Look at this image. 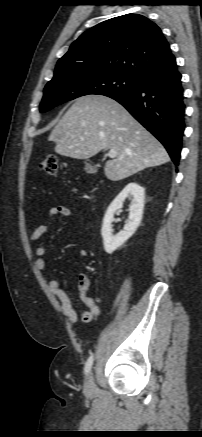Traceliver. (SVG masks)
I'll return each mask as SVG.
<instances>
[{
  "mask_svg": "<svg viewBox=\"0 0 202 437\" xmlns=\"http://www.w3.org/2000/svg\"><path fill=\"white\" fill-rule=\"evenodd\" d=\"M56 153L88 159L103 149L116 151L104 167L111 181L169 162L162 144L115 100L102 95L76 99L52 130Z\"/></svg>",
  "mask_w": 202,
  "mask_h": 437,
  "instance_id": "1",
  "label": "liver"
}]
</instances>
